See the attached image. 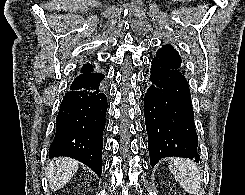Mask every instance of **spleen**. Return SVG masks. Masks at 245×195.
I'll return each mask as SVG.
<instances>
[{
    "instance_id": "spleen-1",
    "label": "spleen",
    "mask_w": 245,
    "mask_h": 195,
    "mask_svg": "<svg viewBox=\"0 0 245 195\" xmlns=\"http://www.w3.org/2000/svg\"><path fill=\"white\" fill-rule=\"evenodd\" d=\"M169 169L186 192L199 195L202 175L197 164L189 159L172 158Z\"/></svg>"
}]
</instances>
